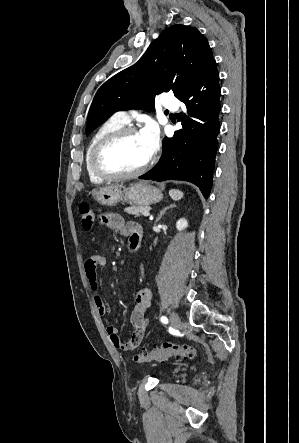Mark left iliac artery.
<instances>
[{
	"label": "left iliac artery",
	"instance_id": "left-iliac-artery-1",
	"mask_svg": "<svg viewBox=\"0 0 299 443\" xmlns=\"http://www.w3.org/2000/svg\"><path fill=\"white\" fill-rule=\"evenodd\" d=\"M160 320H161V322L164 323V324H167V323H168V319H167L166 316H161Z\"/></svg>",
	"mask_w": 299,
	"mask_h": 443
}]
</instances>
